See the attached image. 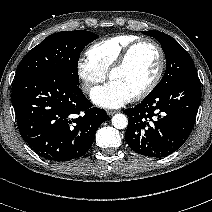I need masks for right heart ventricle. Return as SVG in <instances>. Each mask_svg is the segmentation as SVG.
Here are the masks:
<instances>
[{
    "instance_id": "obj_1",
    "label": "right heart ventricle",
    "mask_w": 212,
    "mask_h": 212,
    "mask_svg": "<svg viewBox=\"0 0 212 212\" xmlns=\"http://www.w3.org/2000/svg\"><path fill=\"white\" fill-rule=\"evenodd\" d=\"M137 39L139 37L133 34H118L102 39L88 48L87 58L100 70L108 73L125 48Z\"/></svg>"
}]
</instances>
